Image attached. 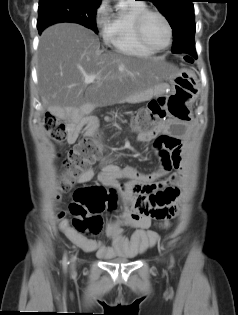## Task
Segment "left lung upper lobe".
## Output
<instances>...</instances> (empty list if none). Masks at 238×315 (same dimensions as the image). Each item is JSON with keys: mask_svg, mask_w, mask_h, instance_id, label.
Returning a JSON list of instances; mask_svg holds the SVG:
<instances>
[{"mask_svg": "<svg viewBox=\"0 0 238 315\" xmlns=\"http://www.w3.org/2000/svg\"><path fill=\"white\" fill-rule=\"evenodd\" d=\"M167 18L173 37H184L194 43L195 22L192 0H148Z\"/></svg>", "mask_w": 238, "mask_h": 315, "instance_id": "obj_1", "label": "left lung upper lobe"}]
</instances>
